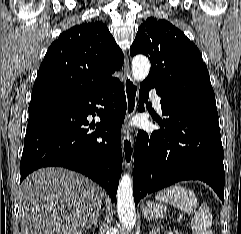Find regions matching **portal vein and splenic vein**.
Wrapping results in <instances>:
<instances>
[{"instance_id":"portal-vein-and-splenic-vein-1","label":"portal vein and splenic vein","mask_w":241,"mask_h":234,"mask_svg":"<svg viewBox=\"0 0 241 234\" xmlns=\"http://www.w3.org/2000/svg\"><path fill=\"white\" fill-rule=\"evenodd\" d=\"M168 234H173V232H169Z\"/></svg>"}]
</instances>
